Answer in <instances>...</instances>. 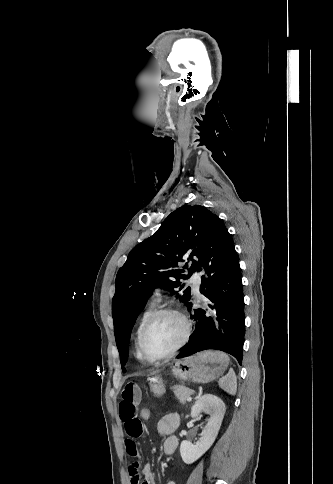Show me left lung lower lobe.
<instances>
[{"mask_svg":"<svg viewBox=\"0 0 333 484\" xmlns=\"http://www.w3.org/2000/svg\"><path fill=\"white\" fill-rule=\"evenodd\" d=\"M203 271L200 292L207 298L205 309H192L194 332L177 358L205 349H217L242 363L245 333L241 271L234 243L222 221L216 217L195 263Z\"/></svg>","mask_w":333,"mask_h":484,"instance_id":"0a47b994","label":"left lung lower lobe"}]
</instances>
